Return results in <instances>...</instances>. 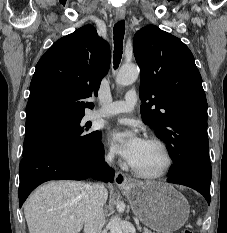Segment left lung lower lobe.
Here are the masks:
<instances>
[{"mask_svg":"<svg viewBox=\"0 0 227 233\" xmlns=\"http://www.w3.org/2000/svg\"><path fill=\"white\" fill-rule=\"evenodd\" d=\"M168 182L191 187L200 192L210 204V182L211 178L199 174H169Z\"/></svg>","mask_w":227,"mask_h":233,"instance_id":"obj_1","label":"left lung lower lobe"}]
</instances>
